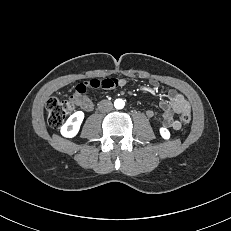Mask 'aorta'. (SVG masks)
Segmentation results:
<instances>
[{
  "label": "aorta",
  "mask_w": 231,
  "mask_h": 231,
  "mask_svg": "<svg viewBox=\"0 0 231 231\" xmlns=\"http://www.w3.org/2000/svg\"><path fill=\"white\" fill-rule=\"evenodd\" d=\"M114 106L116 109H123L125 106V102L122 99H116L114 102Z\"/></svg>",
  "instance_id": "762f6f07"
}]
</instances>
